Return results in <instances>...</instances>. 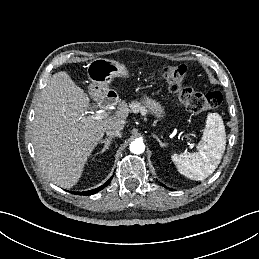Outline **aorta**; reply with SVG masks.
Listing matches in <instances>:
<instances>
[{"mask_svg": "<svg viewBox=\"0 0 259 259\" xmlns=\"http://www.w3.org/2000/svg\"><path fill=\"white\" fill-rule=\"evenodd\" d=\"M129 149L134 154H141L145 150V145H144L143 141L135 140V141L131 142Z\"/></svg>", "mask_w": 259, "mask_h": 259, "instance_id": "762f6f07", "label": "aorta"}]
</instances>
